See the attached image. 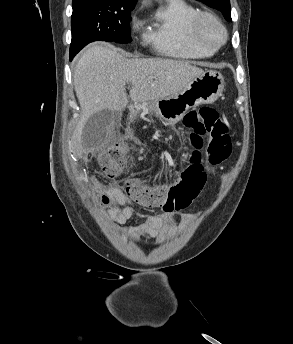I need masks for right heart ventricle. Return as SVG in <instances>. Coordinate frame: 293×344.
I'll return each mask as SVG.
<instances>
[{
	"label": "right heart ventricle",
	"mask_w": 293,
	"mask_h": 344,
	"mask_svg": "<svg viewBox=\"0 0 293 344\" xmlns=\"http://www.w3.org/2000/svg\"><path fill=\"white\" fill-rule=\"evenodd\" d=\"M200 10L186 0H166L143 31L144 43L158 54L178 59H204L215 51L198 45L191 25Z\"/></svg>",
	"instance_id": "1"
}]
</instances>
